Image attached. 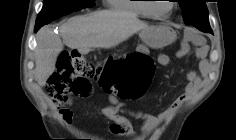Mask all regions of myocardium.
Here are the masks:
<instances>
[{
  "instance_id": "1",
  "label": "myocardium",
  "mask_w": 236,
  "mask_h": 140,
  "mask_svg": "<svg viewBox=\"0 0 236 140\" xmlns=\"http://www.w3.org/2000/svg\"><path fill=\"white\" fill-rule=\"evenodd\" d=\"M149 1H152V0H149ZM147 8H148V10H149V12H150V15L153 16L154 18H156V19H166V18H168V17L172 14V12L174 11L175 5H174L173 2H171V4H170V9H169V11H168L167 13H165V14H159V13H157V12L155 11L154 6H153L152 4H147Z\"/></svg>"
}]
</instances>
